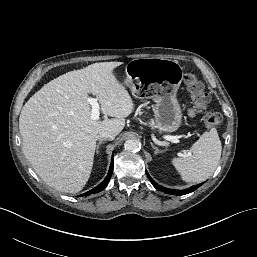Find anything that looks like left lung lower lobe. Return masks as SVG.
Instances as JSON below:
<instances>
[{
	"mask_svg": "<svg viewBox=\"0 0 257 257\" xmlns=\"http://www.w3.org/2000/svg\"><path fill=\"white\" fill-rule=\"evenodd\" d=\"M147 176L156 189H158L162 192H165L167 194H172V195H185V194L195 191L197 188H199L202 185V183L198 184V185H194L191 188L186 189V190H173V189L162 188V187L158 186L157 183L150 177V175L148 173H147Z\"/></svg>",
	"mask_w": 257,
	"mask_h": 257,
	"instance_id": "left-lung-lower-lobe-1",
	"label": "left lung lower lobe"
}]
</instances>
